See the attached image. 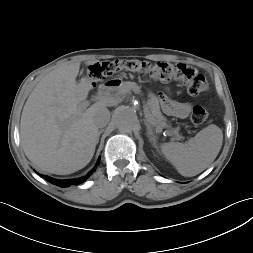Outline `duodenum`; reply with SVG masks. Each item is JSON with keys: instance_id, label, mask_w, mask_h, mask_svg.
Wrapping results in <instances>:
<instances>
[{"instance_id": "1", "label": "duodenum", "mask_w": 253, "mask_h": 253, "mask_svg": "<svg viewBox=\"0 0 253 253\" xmlns=\"http://www.w3.org/2000/svg\"><path fill=\"white\" fill-rule=\"evenodd\" d=\"M114 86H116L115 81L106 82V83H104V84H102V85L99 86L98 93L100 95L104 94V93H106L107 91H109Z\"/></svg>"}]
</instances>
